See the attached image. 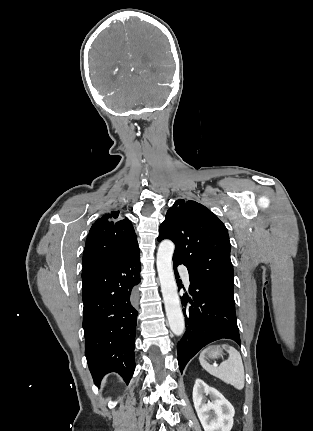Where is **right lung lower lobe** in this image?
Segmentation results:
<instances>
[{
  "label": "right lung lower lobe",
  "mask_w": 313,
  "mask_h": 431,
  "mask_svg": "<svg viewBox=\"0 0 313 431\" xmlns=\"http://www.w3.org/2000/svg\"><path fill=\"white\" fill-rule=\"evenodd\" d=\"M139 251L108 263L83 267L82 299L85 355L94 383L110 372L129 383L134 369L137 310L134 287L140 283Z\"/></svg>",
  "instance_id": "right-lung-lower-lobe-1"
}]
</instances>
